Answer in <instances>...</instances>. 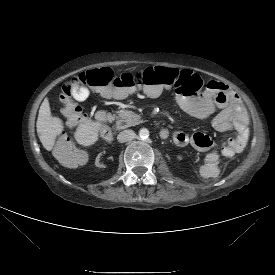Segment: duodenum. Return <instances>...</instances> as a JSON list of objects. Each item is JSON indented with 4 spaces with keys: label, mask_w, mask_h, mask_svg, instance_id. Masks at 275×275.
Masks as SVG:
<instances>
[{
    "label": "duodenum",
    "mask_w": 275,
    "mask_h": 275,
    "mask_svg": "<svg viewBox=\"0 0 275 275\" xmlns=\"http://www.w3.org/2000/svg\"><path fill=\"white\" fill-rule=\"evenodd\" d=\"M97 120L104 124L103 134L107 140H110L112 138V134H111L112 117L109 116L108 113L101 111L97 113ZM167 134H168V131L165 129H162L160 132V135H162L163 137H166Z\"/></svg>",
    "instance_id": "410a0bca"
}]
</instances>
